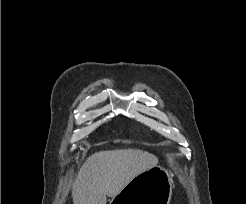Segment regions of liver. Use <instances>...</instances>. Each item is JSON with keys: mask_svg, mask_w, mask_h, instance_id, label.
I'll list each match as a JSON object with an SVG mask.
<instances>
[{"mask_svg": "<svg viewBox=\"0 0 246 204\" xmlns=\"http://www.w3.org/2000/svg\"><path fill=\"white\" fill-rule=\"evenodd\" d=\"M157 164L155 155L139 149L96 152L78 172L73 204H106V196H116L134 177Z\"/></svg>", "mask_w": 246, "mask_h": 204, "instance_id": "obj_1", "label": "liver"}]
</instances>
